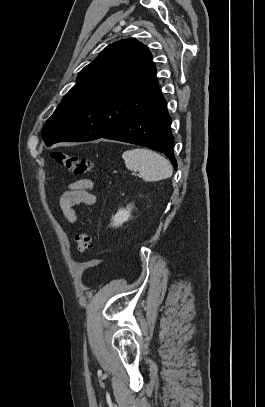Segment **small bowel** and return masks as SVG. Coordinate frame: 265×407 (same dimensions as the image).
Masks as SVG:
<instances>
[{
	"mask_svg": "<svg viewBox=\"0 0 265 407\" xmlns=\"http://www.w3.org/2000/svg\"><path fill=\"white\" fill-rule=\"evenodd\" d=\"M93 182L83 178L74 181L60 198V207L70 223L77 221L74 207L80 204L91 206L95 203V196L90 192Z\"/></svg>",
	"mask_w": 265,
	"mask_h": 407,
	"instance_id": "small-bowel-1",
	"label": "small bowel"
}]
</instances>
